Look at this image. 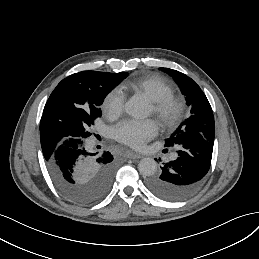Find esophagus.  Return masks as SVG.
Returning a JSON list of instances; mask_svg holds the SVG:
<instances>
[{
    "label": "esophagus",
    "instance_id": "1",
    "mask_svg": "<svg viewBox=\"0 0 259 259\" xmlns=\"http://www.w3.org/2000/svg\"><path fill=\"white\" fill-rule=\"evenodd\" d=\"M126 156H127L129 159H139V158L142 157L141 155L135 153V152L132 151V150H129V151L127 152Z\"/></svg>",
    "mask_w": 259,
    "mask_h": 259
}]
</instances>
